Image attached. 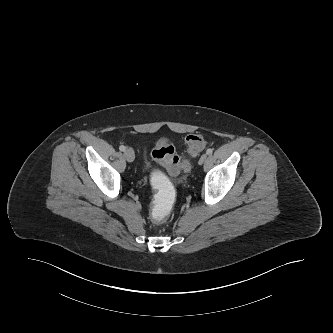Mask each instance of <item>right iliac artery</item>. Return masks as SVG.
Returning <instances> with one entry per match:
<instances>
[{"label": "right iliac artery", "instance_id": "82829eb1", "mask_svg": "<svg viewBox=\"0 0 333 333\" xmlns=\"http://www.w3.org/2000/svg\"><path fill=\"white\" fill-rule=\"evenodd\" d=\"M125 149H126V147L123 146V145H121V146L119 147V150H120V151H125Z\"/></svg>", "mask_w": 333, "mask_h": 333}]
</instances>
